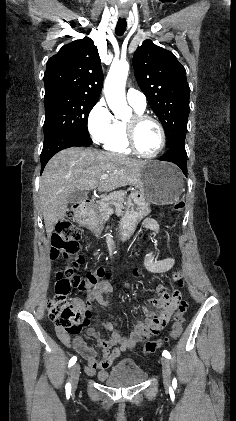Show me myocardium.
<instances>
[{
	"mask_svg": "<svg viewBox=\"0 0 236 421\" xmlns=\"http://www.w3.org/2000/svg\"><path fill=\"white\" fill-rule=\"evenodd\" d=\"M144 120L152 122L157 127L160 136L159 146L157 150L152 154H144L140 152L135 143L134 127L138 122ZM124 135L129 149L141 158L151 159L159 156L166 144V133L162 124L154 117L144 114L142 112H135L128 120L124 122Z\"/></svg>",
	"mask_w": 236,
	"mask_h": 421,
	"instance_id": "myocardium-1",
	"label": "myocardium"
}]
</instances>
